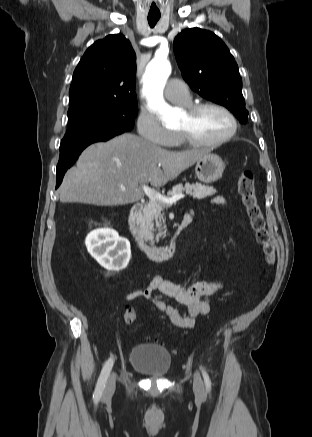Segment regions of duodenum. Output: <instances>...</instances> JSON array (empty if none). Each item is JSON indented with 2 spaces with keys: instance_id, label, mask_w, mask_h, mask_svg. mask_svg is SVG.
<instances>
[{
  "instance_id": "410a0bca",
  "label": "duodenum",
  "mask_w": 312,
  "mask_h": 437,
  "mask_svg": "<svg viewBox=\"0 0 312 437\" xmlns=\"http://www.w3.org/2000/svg\"><path fill=\"white\" fill-rule=\"evenodd\" d=\"M143 209L144 204L141 202H137L132 206L125 222L127 237L149 260L158 263L168 261L176 253L179 237L185 228L191 223L192 219L189 214H186L180 222L170 243L156 246L143 240L136 232V223L142 214Z\"/></svg>"
}]
</instances>
